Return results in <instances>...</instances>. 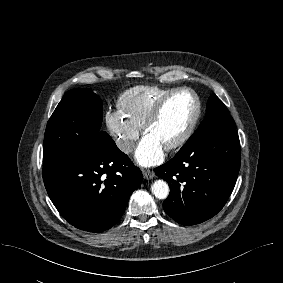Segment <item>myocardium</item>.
Listing matches in <instances>:
<instances>
[{"label": "myocardium", "instance_id": "f54148a6", "mask_svg": "<svg viewBox=\"0 0 283 283\" xmlns=\"http://www.w3.org/2000/svg\"><path fill=\"white\" fill-rule=\"evenodd\" d=\"M180 93H189L194 101H195V105H196V110H195V114L192 118V120L190 121L189 125L187 126V128L183 131V133L176 139L174 140L172 143H170L169 145H167L165 147L166 150L170 151V150H175L177 148L182 147L184 144L187 143V141L191 138V136L193 135L199 120L201 118V114H202V104L200 101L199 96L197 95V93L192 90L191 88L188 87H181V88H176L171 90L170 92H168L167 94H165L164 96H162L153 106V108L151 109L149 115L147 116L145 122L143 123L142 126V133L145 135L147 130L153 125V123L157 120V118L159 117L163 107L165 106V104L175 95L180 94Z\"/></svg>", "mask_w": 283, "mask_h": 283}]
</instances>
